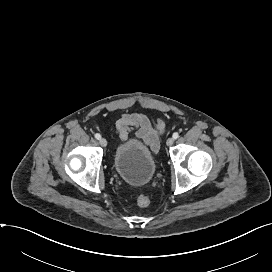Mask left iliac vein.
Segmentation results:
<instances>
[{"label":"left iliac vein","instance_id":"1","mask_svg":"<svg viewBox=\"0 0 272 272\" xmlns=\"http://www.w3.org/2000/svg\"><path fill=\"white\" fill-rule=\"evenodd\" d=\"M174 143V138H168L166 141L167 146H172Z\"/></svg>","mask_w":272,"mask_h":272}]
</instances>
